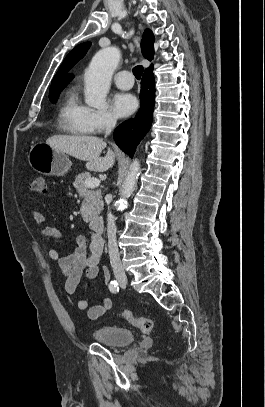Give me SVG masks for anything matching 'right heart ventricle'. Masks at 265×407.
Segmentation results:
<instances>
[{
	"instance_id": "obj_1",
	"label": "right heart ventricle",
	"mask_w": 265,
	"mask_h": 407,
	"mask_svg": "<svg viewBox=\"0 0 265 407\" xmlns=\"http://www.w3.org/2000/svg\"><path fill=\"white\" fill-rule=\"evenodd\" d=\"M87 107L77 97L74 88L65 94L58 110V125L66 133L77 136L90 135L92 130L87 123Z\"/></svg>"
}]
</instances>
